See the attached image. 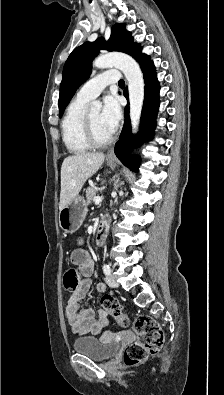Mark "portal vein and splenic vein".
<instances>
[{
	"label": "portal vein and splenic vein",
	"mask_w": 224,
	"mask_h": 395,
	"mask_svg": "<svg viewBox=\"0 0 224 395\" xmlns=\"http://www.w3.org/2000/svg\"><path fill=\"white\" fill-rule=\"evenodd\" d=\"M102 200H103V197L97 196V197L94 199V202H95V204H99V203L102 202Z\"/></svg>",
	"instance_id": "1"
}]
</instances>
